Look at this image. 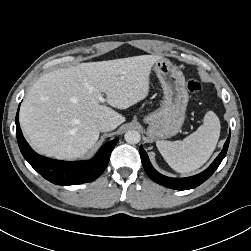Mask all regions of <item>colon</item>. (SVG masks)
<instances>
[{"instance_id":"5ec220e1","label":"colon","mask_w":251,"mask_h":251,"mask_svg":"<svg viewBox=\"0 0 251 251\" xmlns=\"http://www.w3.org/2000/svg\"><path fill=\"white\" fill-rule=\"evenodd\" d=\"M201 84L199 81L195 80V79H191L188 81L187 83V89L188 91L193 94L196 98H198V94L201 91Z\"/></svg>"}]
</instances>
